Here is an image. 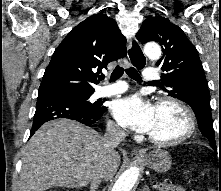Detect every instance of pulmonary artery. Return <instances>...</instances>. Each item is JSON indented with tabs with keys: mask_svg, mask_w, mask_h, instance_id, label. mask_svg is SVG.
<instances>
[{
	"mask_svg": "<svg viewBox=\"0 0 221 191\" xmlns=\"http://www.w3.org/2000/svg\"><path fill=\"white\" fill-rule=\"evenodd\" d=\"M160 72L146 68L143 71V79L145 82H154L160 78ZM128 86L125 82H117L112 85H105L98 88L95 93L96 98L109 97L117 94H121L127 90Z\"/></svg>",
	"mask_w": 221,
	"mask_h": 191,
	"instance_id": "obj_1",
	"label": "pulmonary artery"
}]
</instances>
